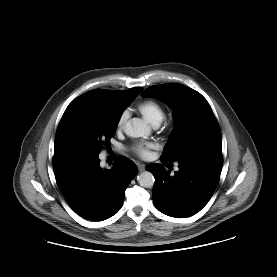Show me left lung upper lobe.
Masks as SVG:
<instances>
[{
  "mask_svg": "<svg viewBox=\"0 0 277 277\" xmlns=\"http://www.w3.org/2000/svg\"><path fill=\"white\" fill-rule=\"evenodd\" d=\"M143 97L168 102L174 111L175 127L161 161H179L204 149L221 147V132L207 100L197 91L177 83L147 88Z\"/></svg>",
  "mask_w": 277,
  "mask_h": 277,
  "instance_id": "left-lung-upper-lobe-1",
  "label": "left lung upper lobe"
}]
</instances>
